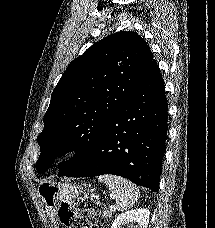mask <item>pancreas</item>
I'll use <instances>...</instances> for the list:
<instances>
[{
  "mask_svg": "<svg viewBox=\"0 0 215 228\" xmlns=\"http://www.w3.org/2000/svg\"><path fill=\"white\" fill-rule=\"evenodd\" d=\"M102 216L103 218H111L112 212L109 210V208H105V210H102Z\"/></svg>",
  "mask_w": 215,
  "mask_h": 228,
  "instance_id": "cf45deb5",
  "label": "pancreas"
}]
</instances>
